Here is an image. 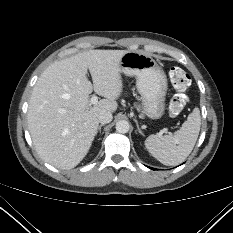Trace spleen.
I'll use <instances>...</instances> for the list:
<instances>
[{
	"mask_svg": "<svg viewBox=\"0 0 233 233\" xmlns=\"http://www.w3.org/2000/svg\"><path fill=\"white\" fill-rule=\"evenodd\" d=\"M201 116L198 108L188 115L187 120L174 134L150 135L145 147L150 154L164 165L182 163L191 153L199 135Z\"/></svg>",
	"mask_w": 233,
	"mask_h": 233,
	"instance_id": "obj_1",
	"label": "spleen"
}]
</instances>
